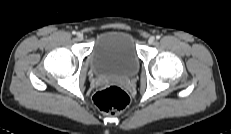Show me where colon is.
Listing matches in <instances>:
<instances>
[{
	"mask_svg": "<svg viewBox=\"0 0 231 134\" xmlns=\"http://www.w3.org/2000/svg\"><path fill=\"white\" fill-rule=\"evenodd\" d=\"M93 102L103 113L115 115L125 110L129 104V97L121 87L109 85L95 93Z\"/></svg>",
	"mask_w": 231,
	"mask_h": 134,
	"instance_id": "colon-1",
	"label": "colon"
}]
</instances>
